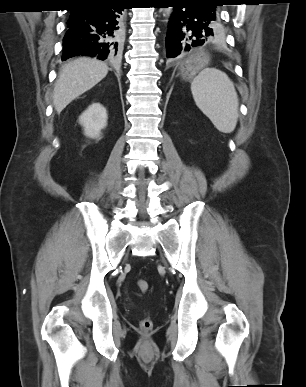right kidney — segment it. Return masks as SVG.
Here are the masks:
<instances>
[{
	"label": "right kidney",
	"mask_w": 306,
	"mask_h": 387,
	"mask_svg": "<svg viewBox=\"0 0 306 387\" xmlns=\"http://www.w3.org/2000/svg\"><path fill=\"white\" fill-rule=\"evenodd\" d=\"M79 123L84 128V135L98 139L101 130L107 126V111L100 103H93L79 117Z\"/></svg>",
	"instance_id": "1"
}]
</instances>
